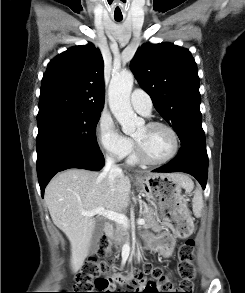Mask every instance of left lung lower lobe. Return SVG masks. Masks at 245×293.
Returning a JSON list of instances; mask_svg holds the SVG:
<instances>
[{
	"mask_svg": "<svg viewBox=\"0 0 245 293\" xmlns=\"http://www.w3.org/2000/svg\"><path fill=\"white\" fill-rule=\"evenodd\" d=\"M153 172H185L194 176L205 189L208 175L206 146L183 144L172 161Z\"/></svg>",
	"mask_w": 245,
	"mask_h": 293,
	"instance_id": "left-lung-lower-lobe-1",
	"label": "left lung lower lobe"
}]
</instances>
